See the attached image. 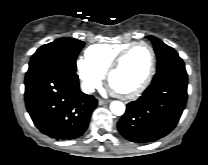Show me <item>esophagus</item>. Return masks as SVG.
Masks as SVG:
<instances>
[{
	"label": "esophagus",
	"instance_id": "34e87169",
	"mask_svg": "<svg viewBox=\"0 0 208 165\" xmlns=\"http://www.w3.org/2000/svg\"><path fill=\"white\" fill-rule=\"evenodd\" d=\"M107 103H109L108 100L99 99V105H105V104H107Z\"/></svg>",
	"mask_w": 208,
	"mask_h": 165
}]
</instances>
